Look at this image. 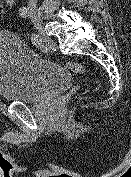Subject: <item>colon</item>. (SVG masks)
<instances>
[{
	"mask_svg": "<svg viewBox=\"0 0 131 177\" xmlns=\"http://www.w3.org/2000/svg\"><path fill=\"white\" fill-rule=\"evenodd\" d=\"M0 2H1V10L3 11V13L11 14L15 11L17 0H0ZM57 62L74 73L80 75L87 74L86 67L78 62H71V61H57Z\"/></svg>",
	"mask_w": 131,
	"mask_h": 177,
	"instance_id": "obj_1",
	"label": "colon"
}]
</instances>
